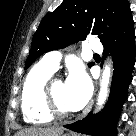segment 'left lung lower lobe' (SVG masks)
Returning a JSON list of instances; mask_svg holds the SVG:
<instances>
[{
  "instance_id": "0a47b994",
  "label": "left lung lower lobe",
  "mask_w": 136,
  "mask_h": 136,
  "mask_svg": "<svg viewBox=\"0 0 136 136\" xmlns=\"http://www.w3.org/2000/svg\"><path fill=\"white\" fill-rule=\"evenodd\" d=\"M133 17L129 13L117 30L105 41L104 57L110 52L113 59V78L109 100L102 112L90 113L75 123L64 125L75 132L93 136H116V125L122 105L128 97V87L132 81L136 47Z\"/></svg>"
}]
</instances>
